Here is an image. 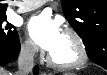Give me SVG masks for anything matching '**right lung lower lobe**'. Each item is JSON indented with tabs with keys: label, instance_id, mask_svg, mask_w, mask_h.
<instances>
[{
	"label": "right lung lower lobe",
	"instance_id": "1",
	"mask_svg": "<svg viewBox=\"0 0 107 75\" xmlns=\"http://www.w3.org/2000/svg\"><path fill=\"white\" fill-rule=\"evenodd\" d=\"M20 52V43L18 36L14 41L10 43L0 44V65H6L7 63L13 62ZM34 72L38 73V67L34 68Z\"/></svg>",
	"mask_w": 107,
	"mask_h": 75
}]
</instances>
